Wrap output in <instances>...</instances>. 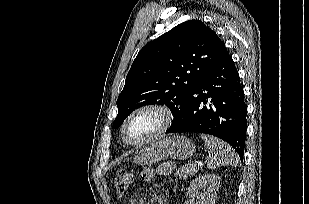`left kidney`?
<instances>
[{
  "label": "left kidney",
  "instance_id": "obj_1",
  "mask_svg": "<svg viewBox=\"0 0 309 204\" xmlns=\"http://www.w3.org/2000/svg\"><path fill=\"white\" fill-rule=\"evenodd\" d=\"M219 185L220 177L218 175H200L192 180L186 192V196L199 199L201 204H215ZM202 188H204V192L199 193V189Z\"/></svg>",
  "mask_w": 309,
  "mask_h": 204
}]
</instances>
